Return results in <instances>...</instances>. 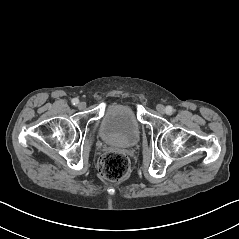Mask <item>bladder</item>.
<instances>
[{
    "mask_svg": "<svg viewBox=\"0 0 239 239\" xmlns=\"http://www.w3.org/2000/svg\"><path fill=\"white\" fill-rule=\"evenodd\" d=\"M99 135L109 144L132 147L140 139V124L134 110L123 104L108 106L101 118Z\"/></svg>",
    "mask_w": 239,
    "mask_h": 239,
    "instance_id": "bladder-1",
    "label": "bladder"
}]
</instances>
